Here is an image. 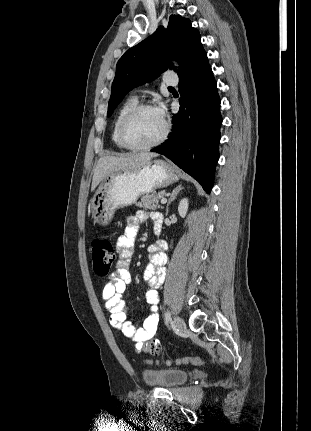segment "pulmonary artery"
<instances>
[{
    "label": "pulmonary artery",
    "mask_w": 311,
    "mask_h": 431,
    "mask_svg": "<svg viewBox=\"0 0 311 431\" xmlns=\"http://www.w3.org/2000/svg\"><path fill=\"white\" fill-rule=\"evenodd\" d=\"M164 83L168 84V85H175L177 83V81L175 80H171V79H167V78H163Z\"/></svg>",
    "instance_id": "obj_1"
}]
</instances>
